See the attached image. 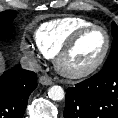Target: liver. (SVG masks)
I'll return each mask as SVG.
<instances>
[{
	"label": "liver",
	"mask_w": 118,
	"mask_h": 118,
	"mask_svg": "<svg viewBox=\"0 0 118 118\" xmlns=\"http://www.w3.org/2000/svg\"><path fill=\"white\" fill-rule=\"evenodd\" d=\"M4 67H5L4 59H3V56L0 52V74L3 72Z\"/></svg>",
	"instance_id": "6515ba94"
}]
</instances>
